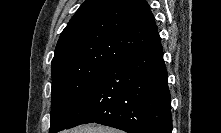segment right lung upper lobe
Returning a JSON list of instances; mask_svg holds the SVG:
<instances>
[{
	"label": "right lung upper lobe",
	"instance_id": "right-lung-upper-lobe-1",
	"mask_svg": "<svg viewBox=\"0 0 221 133\" xmlns=\"http://www.w3.org/2000/svg\"><path fill=\"white\" fill-rule=\"evenodd\" d=\"M159 44L145 0H86L60 35L52 74L65 68L111 66Z\"/></svg>",
	"mask_w": 221,
	"mask_h": 133
}]
</instances>
